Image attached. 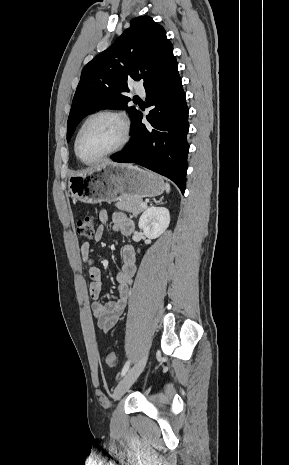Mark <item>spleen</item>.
<instances>
[{"label":"spleen","mask_w":289,"mask_h":465,"mask_svg":"<svg viewBox=\"0 0 289 465\" xmlns=\"http://www.w3.org/2000/svg\"><path fill=\"white\" fill-rule=\"evenodd\" d=\"M165 190H166L167 193L170 192V184L169 183L165 184Z\"/></svg>","instance_id":"spleen-1"}]
</instances>
